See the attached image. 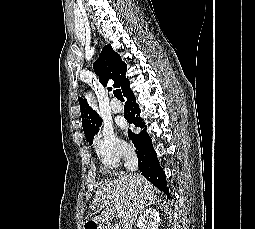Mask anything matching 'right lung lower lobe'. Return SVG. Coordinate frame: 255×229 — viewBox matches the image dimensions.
I'll return each instance as SVG.
<instances>
[{
  "instance_id": "1",
  "label": "right lung lower lobe",
  "mask_w": 255,
  "mask_h": 229,
  "mask_svg": "<svg viewBox=\"0 0 255 229\" xmlns=\"http://www.w3.org/2000/svg\"><path fill=\"white\" fill-rule=\"evenodd\" d=\"M123 95L127 99L124 117L129 123L143 129L139 134H133L129 131V137L136 147L139 170L146 179L153 183L160 191L164 192L169 198V189L165 173L159 165L156 152L153 149L152 140L146 132V125L144 121L138 117L140 114L139 105L135 102V96L130 89L129 82L123 91Z\"/></svg>"
}]
</instances>
